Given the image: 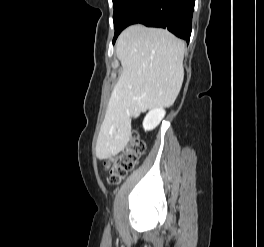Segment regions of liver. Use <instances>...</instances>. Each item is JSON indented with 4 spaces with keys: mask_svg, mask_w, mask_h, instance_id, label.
<instances>
[{
    "mask_svg": "<svg viewBox=\"0 0 264 247\" xmlns=\"http://www.w3.org/2000/svg\"><path fill=\"white\" fill-rule=\"evenodd\" d=\"M185 44L164 29L132 25L118 38L123 71L112 90L96 144L103 160L121 152L131 136V118L171 106L183 83Z\"/></svg>",
    "mask_w": 264,
    "mask_h": 247,
    "instance_id": "liver-1",
    "label": "liver"
}]
</instances>
